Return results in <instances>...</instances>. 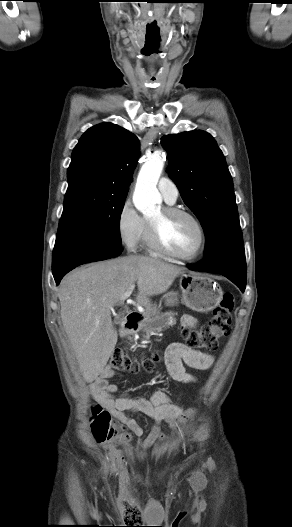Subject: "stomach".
Returning a JSON list of instances; mask_svg holds the SVG:
<instances>
[{
  "label": "stomach",
  "mask_w": 292,
  "mask_h": 527,
  "mask_svg": "<svg viewBox=\"0 0 292 527\" xmlns=\"http://www.w3.org/2000/svg\"><path fill=\"white\" fill-rule=\"evenodd\" d=\"M179 292L171 291L165 295L168 306L181 303L196 312H208L218 306L222 299V290L214 280L201 274L182 273L179 280ZM158 313L156 305L147 308L146 317Z\"/></svg>",
  "instance_id": "stomach-1"
}]
</instances>
